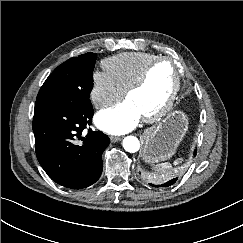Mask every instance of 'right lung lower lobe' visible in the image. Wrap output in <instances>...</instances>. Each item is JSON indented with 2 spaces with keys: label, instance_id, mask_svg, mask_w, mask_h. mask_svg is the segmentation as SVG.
I'll return each mask as SVG.
<instances>
[{
  "label": "right lung lower lobe",
  "instance_id": "1",
  "mask_svg": "<svg viewBox=\"0 0 243 243\" xmlns=\"http://www.w3.org/2000/svg\"><path fill=\"white\" fill-rule=\"evenodd\" d=\"M92 106L72 109L48 102L35 104L33 131L37 159L56 183L81 189L95 183L103 169L102 153L110 139L83 130L92 122Z\"/></svg>",
  "mask_w": 243,
  "mask_h": 243
}]
</instances>
